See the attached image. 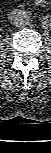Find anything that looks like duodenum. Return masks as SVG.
Masks as SVG:
<instances>
[{
  "label": "duodenum",
  "instance_id": "obj_1",
  "mask_svg": "<svg viewBox=\"0 0 51 153\" xmlns=\"http://www.w3.org/2000/svg\"><path fill=\"white\" fill-rule=\"evenodd\" d=\"M13 15H14V16L22 15V13H21L20 11H16V12L13 13Z\"/></svg>",
  "mask_w": 51,
  "mask_h": 153
}]
</instances>
